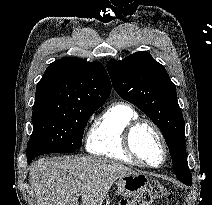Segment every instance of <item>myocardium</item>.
<instances>
[{"label": "myocardium", "mask_w": 212, "mask_h": 205, "mask_svg": "<svg viewBox=\"0 0 212 205\" xmlns=\"http://www.w3.org/2000/svg\"><path fill=\"white\" fill-rule=\"evenodd\" d=\"M142 127L150 128L154 132V134L157 136V138L161 144L162 151H163V157H162V160L158 164H151V163L145 161L144 159H142L134 147V136H135L136 132ZM124 146H125L126 152L138 164L147 166L150 168L160 167L166 161L167 156H168L167 143H166V140H165L161 130L158 128V126L155 123H153L150 120H146V119H137L128 126V128L125 131V135H124Z\"/></svg>", "instance_id": "f54148a6"}]
</instances>
